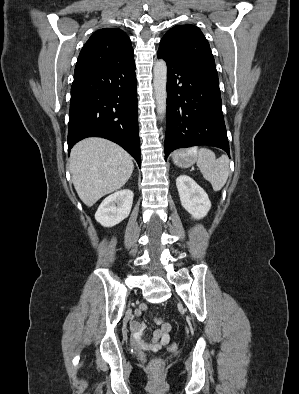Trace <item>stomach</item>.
I'll use <instances>...</instances> for the list:
<instances>
[{
  "mask_svg": "<svg viewBox=\"0 0 299 394\" xmlns=\"http://www.w3.org/2000/svg\"><path fill=\"white\" fill-rule=\"evenodd\" d=\"M197 160V155L195 153L187 152H179L176 153L173 157L174 163L183 168H187L193 165Z\"/></svg>",
  "mask_w": 299,
  "mask_h": 394,
  "instance_id": "obj_1",
  "label": "stomach"
}]
</instances>
